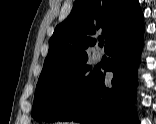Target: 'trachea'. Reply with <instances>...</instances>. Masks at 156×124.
I'll return each instance as SVG.
<instances>
[{
    "instance_id": "3493384b",
    "label": "trachea",
    "mask_w": 156,
    "mask_h": 124,
    "mask_svg": "<svg viewBox=\"0 0 156 124\" xmlns=\"http://www.w3.org/2000/svg\"><path fill=\"white\" fill-rule=\"evenodd\" d=\"M104 45V39H100L99 40V46H103Z\"/></svg>"
}]
</instances>
